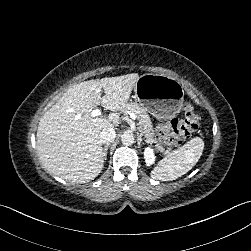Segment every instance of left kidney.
I'll return each mask as SVG.
<instances>
[{
    "instance_id": "1",
    "label": "left kidney",
    "mask_w": 251,
    "mask_h": 251,
    "mask_svg": "<svg viewBox=\"0 0 251 251\" xmlns=\"http://www.w3.org/2000/svg\"><path fill=\"white\" fill-rule=\"evenodd\" d=\"M160 151V150H159ZM144 159L147 166H151L155 163L154 149L151 147H146L144 150Z\"/></svg>"
}]
</instances>
